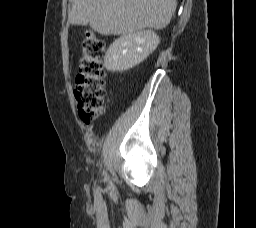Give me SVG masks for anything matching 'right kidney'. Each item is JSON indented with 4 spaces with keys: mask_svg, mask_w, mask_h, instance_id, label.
<instances>
[{
    "mask_svg": "<svg viewBox=\"0 0 256 228\" xmlns=\"http://www.w3.org/2000/svg\"><path fill=\"white\" fill-rule=\"evenodd\" d=\"M159 44L152 30L129 33L116 39L108 48L104 66L110 72H123L141 63Z\"/></svg>",
    "mask_w": 256,
    "mask_h": 228,
    "instance_id": "obj_1",
    "label": "right kidney"
}]
</instances>
